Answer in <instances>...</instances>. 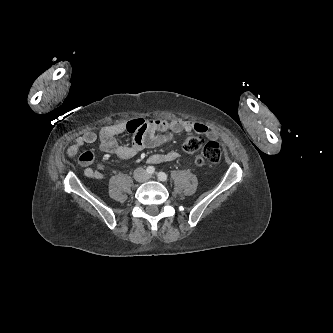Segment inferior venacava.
Returning a JSON list of instances; mask_svg holds the SVG:
<instances>
[{
    "instance_id": "obj_1",
    "label": "inferior vena cava",
    "mask_w": 333,
    "mask_h": 333,
    "mask_svg": "<svg viewBox=\"0 0 333 333\" xmlns=\"http://www.w3.org/2000/svg\"><path fill=\"white\" fill-rule=\"evenodd\" d=\"M134 178L137 181H144L147 178V173L145 172V170L143 168H137L134 171Z\"/></svg>"
}]
</instances>
